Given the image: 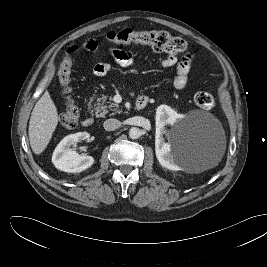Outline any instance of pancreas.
Masks as SVG:
<instances>
[{
    "label": "pancreas",
    "instance_id": "cf45deb5",
    "mask_svg": "<svg viewBox=\"0 0 267 267\" xmlns=\"http://www.w3.org/2000/svg\"><path fill=\"white\" fill-rule=\"evenodd\" d=\"M106 95H103L101 98H97V103L94 104V110H95V116L96 117H105L108 113L112 112L110 115H114L116 113H119L118 105L115 103H111L110 105H107ZM93 112V110H92Z\"/></svg>",
    "mask_w": 267,
    "mask_h": 267
}]
</instances>
